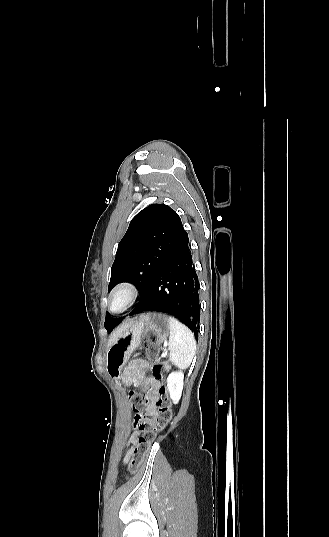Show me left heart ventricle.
I'll list each match as a JSON object with an SVG mask.
<instances>
[{
    "instance_id": "b2bd125f",
    "label": "left heart ventricle",
    "mask_w": 329,
    "mask_h": 537,
    "mask_svg": "<svg viewBox=\"0 0 329 537\" xmlns=\"http://www.w3.org/2000/svg\"><path fill=\"white\" fill-rule=\"evenodd\" d=\"M127 301V295L125 293H120L114 297L112 300V306L114 310H120L123 308Z\"/></svg>"
}]
</instances>
